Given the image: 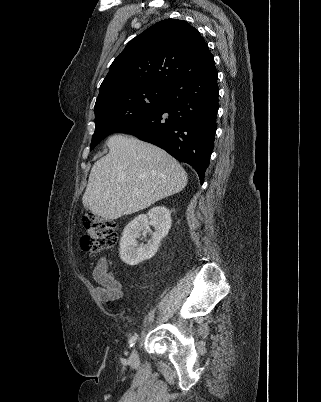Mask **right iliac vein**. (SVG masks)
<instances>
[{"label": "right iliac vein", "mask_w": 321, "mask_h": 402, "mask_svg": "<svg viewBox=\"0 0 321 402\" xmlns=\"http://www.w3.org/2000/svg\"><path fill=\"white\" fill-rule=\"evenodd\" d=\"M137 360H138V353H137V350L134 349V350L132 351V353H131L130 361L134 363V362H136Z\"/></svg>", "instance_id": "63e3f726"}]
</instances>
